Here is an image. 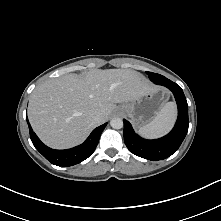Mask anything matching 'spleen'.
Listing matches in <instances>:
<instances>
[{
	"label": "spleen",
	"instance_id": "obj_1",
	"mask_svg": "<svg viewBox=\"0 0 221 221\" xmlns=\"http://www.w3.org/2000/svg\"><path fill=\"white\" fill-rule=\"evenodd\" d=\"M175 117V104L173 102H168L161 108L151 122L140 127L139 134L146 138L160 137L172 128Z\"/></svg>",
	"mask_w": 221,
	"mask_h": 221
}]
</instances>
